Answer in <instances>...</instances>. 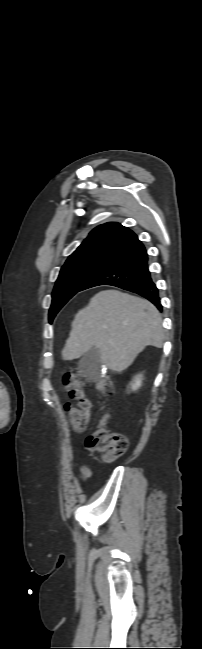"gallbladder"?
Returning a JSON list of instances; mask_svg holds the SVG:
<instances>
[{"mask_svg": "<svg viewBox=\"0 0 202 649\" xmlns=\"http://www.w3.org/2000/svg\"><path fill=\"white\" fill-rule=\"evenodd\" d=\"M78 369L81 375L88 380L96 381L102 375L100 353L96 348H91L79 361Z\"/></svg>", "mask_w": 202, "mask_h": 649, "instance_id": "obj_1", "label": "gallbladder"}]
</instances>
